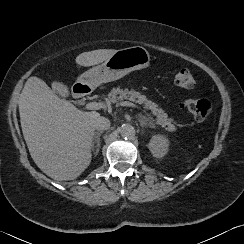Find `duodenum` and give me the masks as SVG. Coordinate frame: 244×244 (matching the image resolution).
<instances>
[{
  "label": "duodenum",
  "mask_w": 244,
  "mask_h": 244,
  "mask_svg": "<svg viewBox=\"0 0 244 244\" xmlns=\"http://www.w3.org/2000/svg\"><path fill=\"white\" fill-rule=\"evenodd\" d=\"M74 92L76 95H78L79 98H84L86 94H84L86 91L84 90V86L81 84H78L74 87Z\"/></svg>",
  "instance_id": "obj_1"
}]
</instances>
